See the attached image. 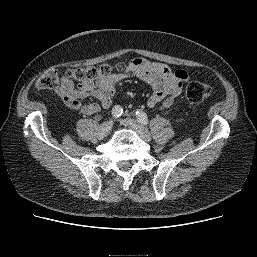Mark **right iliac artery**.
Wrapping results in <instances>:
<instances>
[{
    "mask_svg": "<svg viewBox=\"0 0 257 257\" xmlns=\"http://www.w3.org/2000/svg\"><path fill=\"white\" fill-rule=\"evenodd\" d=\"M122 113H123V109L119 105L114 106V108L112 109V116H113V118L120 117L122 115Z\"/></svg>",
    "mask_w": 257,
    "mask_h": 257,
    "instance_id": "right-iliac-artery-1",
    "label": "right iliac artery"
}]
</instances>
